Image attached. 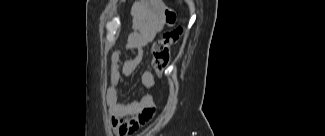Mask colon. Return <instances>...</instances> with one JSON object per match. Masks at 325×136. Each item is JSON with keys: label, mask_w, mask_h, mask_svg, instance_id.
Listing matches in <instances>:
<instances>
[{"label": "colon", "mask_w": 325, "mask_h": 136, "mask_svg": "<svg viewBox=\"0 0 325 136\" xmlns=\"http://www.w3.org/2000/svg\"><path fill=\"white\" fill-rule=\"evenodd\" d=\"M166 20L170 25L175 24L176 14L171 11L167 12ZM182 34V27L171 28L154 43L152 48V67L159 76H162L169 64L171 47L178 43Z\"/></svg>", "instance_id": "obj_1"}]
</instances>
